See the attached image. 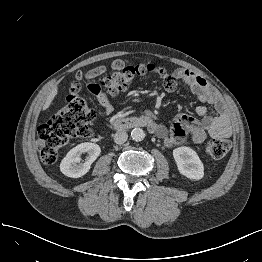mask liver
Instances as JSON below:
<instances>
[{
    "instance_id": "liver-1",
    "label": "liver",
    "mask_w": 262,
    "mask_h": 262,
    "mask_svg": "<svg viewBox=\"0 0 262 262\" xmlns=\"http://www.w3.org/2000/svg\"><path fill=\"white\" fill-rule=\"evenodd\" d=\"M58 87L56 86L52 91L50 92L49 96L47 97L45 104L43 106V110H46L51 105L52 101L54 100L55 96L57 95Z\"/></svg>"
}]
</instances>
